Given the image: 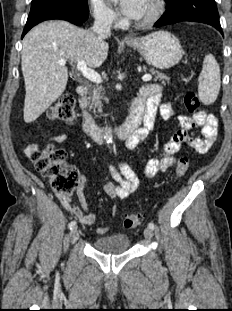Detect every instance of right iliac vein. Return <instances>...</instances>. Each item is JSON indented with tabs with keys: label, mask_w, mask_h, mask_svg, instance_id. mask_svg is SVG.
Returning a JSON list of instances; mask_svg holds the SVG:
<instances>
[{
	"label": "right iliac vein",
	"mask_w": 232,
	"mask_h": 311,
	"mask_svg": "<svg viewBox=\"0 0 232 311\" xmlns=\"http://www.w3.org/2000/svg\"><path fill=\"white\" fill-rule=\"evenodd\" d=\"M70 238H71V241L74 243L78 240L79 238V234H78V231H77V228L74 227L71 229L70 231Z\"/></svg>",
	"instance_id": "obj_1"
}]
</instances>
